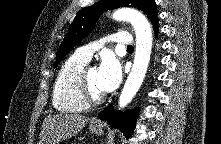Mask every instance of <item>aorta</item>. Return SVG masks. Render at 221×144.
<instances>
[{
    "mask_svg": "<svg viewBox=\"0 0 221 144\" xmlns=\"http://www.w3.org/2000/svg\"><path fill=\"white\" fill-rule=\"evenodd\" d=\"M112 18L116 21H129L136 34L134 63L119 98V107L124 108L136 95L145 77L152 50V31L146 17L135 9H117Z\"/></svg>",
    "mask_w": 221,
    "mask_h": 144,
    "instance_id": "762f6f07",
    "label": "aorta"
}]
</instances>
